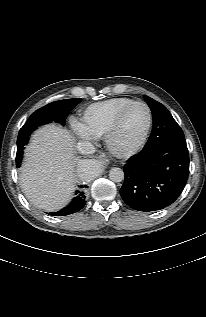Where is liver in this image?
<instances>
[{
	"instance_id": "liver-1",
	"label": "liver",
	"mask_w": 206,
	"mask_h": 317,
	"mask_svg": "<svg viewBox=\"0 0 206 317\" xmlns=\"http://www.w3.org/2000/svg\"><path fill=\"white\" fill-rule=\"evenodd\" d=\"M74 138L55 124L38 129L25 152L20 182L28 200L48 212L62 209L74 190Z\"/></svg>"
}]
</instances>
